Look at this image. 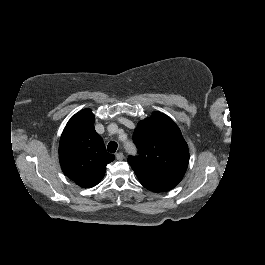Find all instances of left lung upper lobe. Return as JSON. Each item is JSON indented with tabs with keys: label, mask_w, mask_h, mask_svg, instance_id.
I'll return each mask as SVG.
<instances>
[{
	"label": "left lung upper lobe",
	"mask_w": 265,
	"mask_h": 265,
	"mask_svg": "<svg viewBox=\"0 0 265 265\" xmlns=\"http://www.w3.org/2000/svg\"><path fill=\"white\" fill-rule=\"evenodd\" d=\"M133 141L139 155L130 156L128 162L145 188L154 192L168 191L182 180L189 150L171 118L154 112L137 124Z\"/></svg>",
	"instance_id": "left-lung-upper-lobe-1"
}]
</instances>
